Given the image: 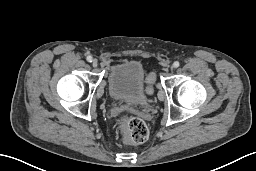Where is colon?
I'll return each instance as SVG.
<instances>
[{
    "mask_svg": "<svg viewBox=\"0 0 256 171\" xmlns=\"http://www.w3.org/2000/svg\"><path fill=\"white\" fill-rule=\"evenodd\" d=\"M153 81V77L149 78V82ZM152 88L149 86L148 92ZM118 128L122 140L127 144H139L147 140L149 129L146 123L137 118L128 115H121L118 118Z\"/></svg>",
    "mask_w": 256,
    "mask_h": 171,
    "instance_id": "colon-1",
    "label": "colon"
}]
</instances>
